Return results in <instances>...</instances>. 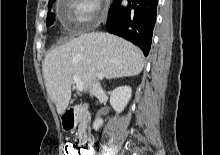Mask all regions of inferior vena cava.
<instances>
[{
    "label": "inferior vena cava",
    "instance_id": "602c4592",
    "mask_svg": "<svg viewBox=\"0 0 220 155\" xmlns=\"http://www.w3.org/2000/svg\"><path fill=\"white\" fill-rule=\"evenodd\" d=\"M100 92H102L101 84L99 83V81L95 80L91 85L90 95L95 96Z\"/></svg>",
    "mask_w": 220,
    "mask_h": 155
}]
</instances>
